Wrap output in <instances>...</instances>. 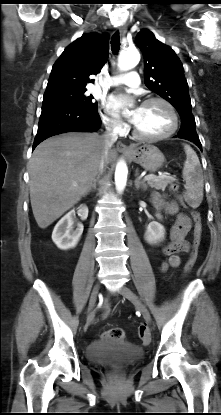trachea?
Returning a JSON list of instances; mask_svg holds the SVG:
<instances>
[{"instance_id": "1", "label": "trachea", "mask_w": 221, "mask_h": 415, "mask_svg": "<svg viewBox=\"0 0 221 415\" xmlns=\"http://www.w3.org/2000/svg\"><path fill=\"white\" fill-rule=\"evenodd\" d=\"M111 49L114 54L120 49V36L118 31L111 38Z\"/></svg>"}]
</instances>
